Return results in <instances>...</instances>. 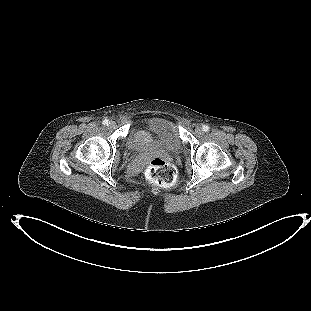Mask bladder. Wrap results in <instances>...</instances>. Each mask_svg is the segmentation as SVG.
I'll return each instance as SVG.
<instances>
[{
	"label": "bladder",
	"instance_id": "1",
	"mask_svg": "<svg viewBox=\"0 0 311 311\" xmlns=\"http://www.w3.org/2000/svg\"><path fill=\"white\" fill-rule=\"evenodd\" d=\"M127 146L139 152L152 149L178 152L182 140L175 123L163 117H152L129 133Z\"/></svg>",
	"mask_w": 311,
	"mask_h": 311
}]
</instances>
